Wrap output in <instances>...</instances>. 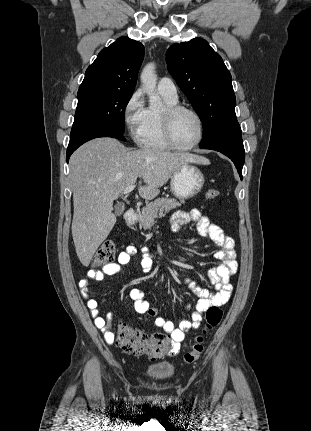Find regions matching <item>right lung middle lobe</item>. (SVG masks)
Returning a JSON list of instances; mask_svg holds the SVG:
<instances>
[{"label": "right lung middle lobe", "mask_w": 311, "mask_h": 431, "mask_svg": "<svg viewBox=\"0 0 311 431\" xmlns=\"http://www.w3.org/2000/svg\"><path fill=\"white\" fill-rule=\"evenodd\" d=\"M132 94L99 89L78 91L71 134L94 126L124 133V112Z\"/></svg>", "instance_id": "obj_1"}]
</instances>
